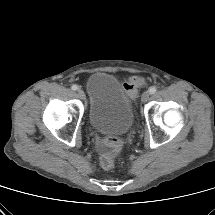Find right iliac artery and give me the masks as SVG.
<instances>
[{"instance_id": "82829eb1", "label": "right iliac artery", "mask_w": 215, "mask_h": 215, "mask_svg": "<svg viewBox=\"0 0 215 215\" xmlns=\"http://www.w3.org/2000/svg\"><path fill=\"white\" fill-rule=\"evenodd\" d=\"M71 89L74 90V91H76V90H78V86L77 85H72Z\"/></svg>"}]
</instances>
